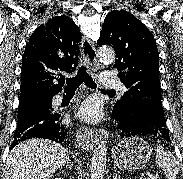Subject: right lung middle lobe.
<instances>
[{"label":"right lung middle lobe","instance_id":"obj_1","mask_svg":"<svg viewBox=\"0 0 183 179\" xmlns=\"http://www.w3.org/2000/svg\"><path fill=\"white\" fill-rule=\"evenodd\" d=\"M42 100V94H32L27 96H21L18 106V118L23 116L27 109L34 103Z\"/></svg>","mask_w":183,"mask_h":179}]
</instances>
